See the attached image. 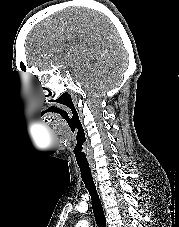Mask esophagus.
<instances>
[{
	"label": "esophagus",
	"mask_w": 179,
	"mask_h": 227,
	"mask_svg": "<svg viewBox=\"0 0 179 227\" xmlns=\"http://www.w3.org/2000/svg\"><path fill=\"white\" fill-rule=\"evenodd\" d=\"M91 173H92L93 180H94L96 189L98 191V194L101 196L99 182H98V179H97V175L95 173V169L93 167H91Z\"/></svg>",
	"instance_id": "esophagus-1"
}]
</instances>
